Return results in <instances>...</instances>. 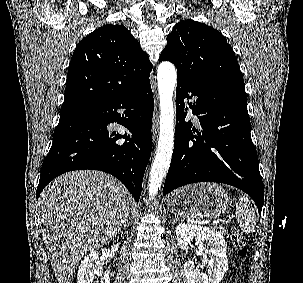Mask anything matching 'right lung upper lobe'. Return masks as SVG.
Segmentation results:
<instances>
[{"label":"right lung upper lobe","mask_w":303,"mask_h":283,"mask_svg":"<svg viewBox=\"0 0 303 283\" xmlns=\"http://www.w3.org/2000/svg\"><path fill=\"white\" fill-rule=\"evenodd\" d=\"M152 64L123 25H104L77 46L68 68L60 117L128 95L149 82Z\"/></svg>","instance_id":"obj_1"}]
</instances>
